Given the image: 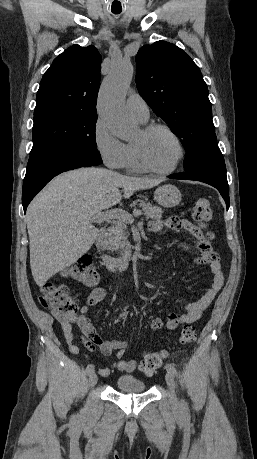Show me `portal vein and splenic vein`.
I'll return each instance as SVG.
<instances>
[{
  "mask_svg": "<svg viewBox=\"0 0 257 459\" xmlns=\"http://www.w3.org/2000/svg\"><path fill=\"white\" fill-rule=\"evenodd\" d=\"M133 215L134 216L141 215V212L135 211ZM112 219L125 221V222H128L130 224H132L134 222V217L131 214L127 213L124 210H120V209L101 212L97 216L93 217L92 221L98 223V222H102V221H106V220H112Z\"/></svg>",
  "mask_w": 257,
  "mask_h": 459,
  "instance_id": "obj_1",
  "label": "portal vein and splenic vein"
}]
</instances>
